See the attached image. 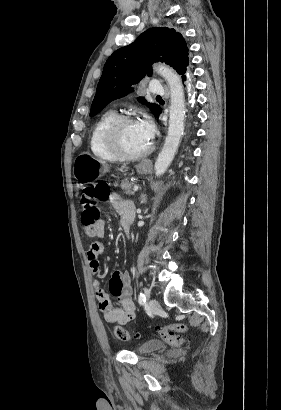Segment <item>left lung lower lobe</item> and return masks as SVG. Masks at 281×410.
I'll return each instance as SVG.
<instances>
[{
    "instance_id": "left-lung-lower-lobe-1",
    "label": "left lung lower lobe",
    "mask_w": 281,
    "mask_h": 410,
    "mask_svg": "<svg viewBox=\"0 0 281 410\" xmlns=\"http://www.w3.org/2000/svg\"><path fill=\"white\" fill-rule=\"evenodd\" d=\"M182 80L184 81V82H190V80H191V73L190 72H188L186 75H184L183 77H182ZM161 113V109H160V111L158 112V114L156 115V117H159V114Z\"/></svg>"
}]
</instances>
